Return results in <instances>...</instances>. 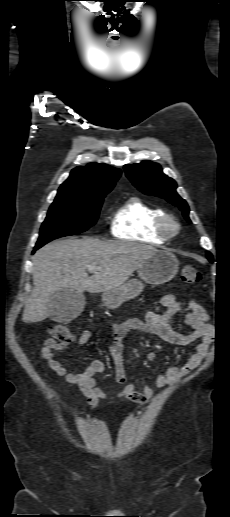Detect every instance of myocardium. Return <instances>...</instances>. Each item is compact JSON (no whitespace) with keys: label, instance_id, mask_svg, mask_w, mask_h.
<instances>
[{"label":"myocardium","instance_id":"f54148a6","mask_svg":"<svg viewBox=\"0 0 230 517\" xmlns=\"http://www.w3.org/2000/svg\"><path fill=\"white\" fill-rule=\"evenodd\" d=\"M158 228L161 234L169 239L179 233L180 224L174 216L165 214L160 218Z\"/></svg>","mask_w":230,"mask_h":517}]
</instances>
